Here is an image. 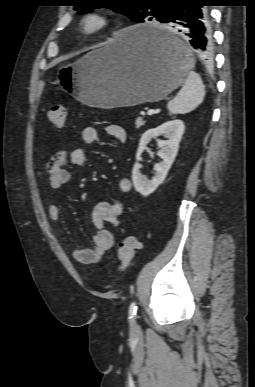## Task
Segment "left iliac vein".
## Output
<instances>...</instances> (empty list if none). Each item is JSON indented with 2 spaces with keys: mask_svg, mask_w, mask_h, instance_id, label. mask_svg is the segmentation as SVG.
Wrapping results in <instances>:
<instances>
[{
  "mask_svg": "<svg viewBox=\"0 0 255 387\" xmlns=\"http://www.w3.org/2000/svg\"><path fill=\"white\" fill-rule=\"evenodd\" d=\"M138 329V325L136 323L133 324L132 330L136 331Z\"/></svg>",
  "mask_w": 255,
  "mask_h": 387,
  "instance_id": "left-iliac-vein-1",
  "label": "left iliac vein"
}]
</instances>
